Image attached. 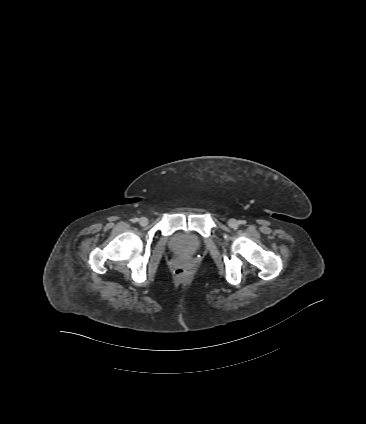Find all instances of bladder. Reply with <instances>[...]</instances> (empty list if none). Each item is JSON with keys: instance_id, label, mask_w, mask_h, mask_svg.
Segmentation results:
<instances>
[{"instance_id": "bladder-1", "label": "bladder", "mask_w": 366, "mask_h": 424, "mask_svg": "<svg viewBox=\"0 0 366 424\" xmlns=\"http://www.w3.org/2000/svg\"><path fill=\"white\" fill-rule=\"evenodd\" d=\"M170 246L177 253L194 254L201 247V239L194 233L182 231L171 237Z\"/></svg>"}]
</instances>
